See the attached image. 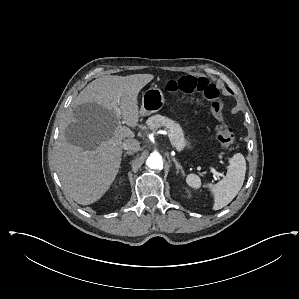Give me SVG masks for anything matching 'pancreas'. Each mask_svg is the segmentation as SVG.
Here are the masks:
<instances>
[{"mask_svg":"<svg viewBox=\"0 0 299 299\" xmlns=\"http://www.w3.org/2000/svg\"><path fill=\"white\" fill-rule=\"evenodd\" d=\"M147 127L150 129H158L164 126L170 135V141L174 147L181 150L185 147V138L182 128L178 123L168 119L162 115H154L146 121Z\"/></svg>","mask_w":299,"mask_h":299,"instance_id":"obj_1","label":"pancreas"}]
</instances>
